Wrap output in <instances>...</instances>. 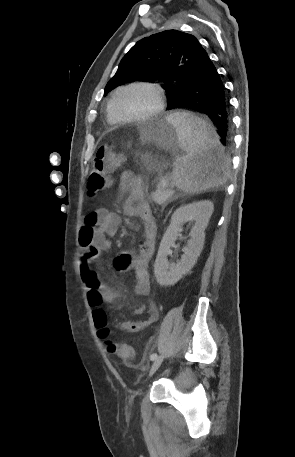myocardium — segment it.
<instances>
[{"label":"myocardium","instance_id":"myocardium-1","mask_svg":"<svg viewBox=\"0 0 295 457\" xmlns=\"http://www.w3.org/2000/svg\"><path fill=\"white\" fill-rule=\"evenodd\" d=\"M133 87H145V88L152 90L155 95V98H156V105L151 111H149L148 113H146L144 115L137 116V117H120L115 113V110H114L115 99L121 91L129 89V88H133ZM164 106H165L164 92L158 84L151 83V82L138 81V82H131L129 84H126V85H123V86L117 88L109 101L108 110H109L110 116L116 122L133 123V122H144V121H147V120H150V119L156 117L157 115H159L162 112V110L164 109Z\"/></svg>","mask_w":295,"mask_h":457}]
</instances>
